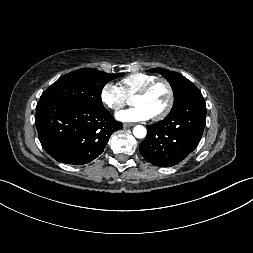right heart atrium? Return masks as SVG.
I'll return each instance as SVG.
<instances>
[{
    "label": "right heart atrium",
    "mask_w": 253,
    "mask_h": 253,
    "mask_svg": "<svg viewBox=\"0 0 253 253\" xmlns=\"http://www.w3.org/2000/svg\"><path fill=\"white\" fill-rule=\"evenodd\" d=\"M100 99L109 109L119 111L127 103L128 96L120 85L108 82L101 88Z\"/></svg>",
    "instance_id": "obj_1"
}]
</instances>
